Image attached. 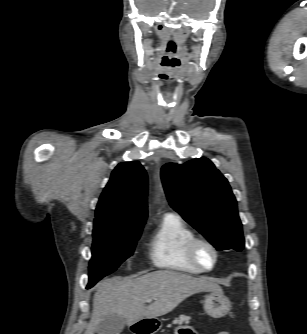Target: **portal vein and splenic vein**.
<instances>
[{
  "instance_id": "1",
  "label": "portal vein and splenic vein",
  "mask_w": 307,
  "mask_h": 334,
  "mask_svg": "<svg viewBox=\"0 0 307 334\" xmlns=\"http://www.w3.org/2000/svg\"><path fill=\"white\" fill-rule=\"evenodd\" d=\"M152 301V298H148L145 300V302L150 303Z\"/></svg>"
}]
</instances>
